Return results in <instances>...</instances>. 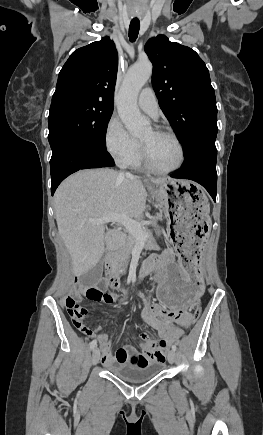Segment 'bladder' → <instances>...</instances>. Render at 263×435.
Listing matches in <instances>:
<instances>
[{
  "mask_svg": "<svg viewBox=\"0 0 263 435\" xmlns=\"http://www.w3.org/2000/svg\"><path fill=\"white\" fill-rule=\"evenodd\" d=\"M162 361H151L144 365L132 366L126 364L112 365L109 371L120 379L130 382H141L154 378L163 369Z\"/></svg>",
  "mask_w": 263,
  "mask_h": 435,
  "instance_id": "obj_1",
  "label": "bladder"
}]
</instances>
